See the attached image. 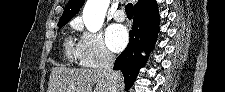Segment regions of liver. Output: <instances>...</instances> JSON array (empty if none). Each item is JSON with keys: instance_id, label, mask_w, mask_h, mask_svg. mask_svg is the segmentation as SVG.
<instances>
[{"instance_id": "6515ba94", "label": "liver", "mask_w": 225, "mask_h": 92, "mask_svg": "<svg viewBox=\"0 0 225 92\" xmlns=\"http://www.w3.org/2000/svg\"><path fill=\"white\" fill-rule=\"evenodd\" d=\"M122 89L123 77L120 72H117L113 86L109 75L99 69L55 67L50 74L47 92H119Z\"/></svg>"}]
</instances>
